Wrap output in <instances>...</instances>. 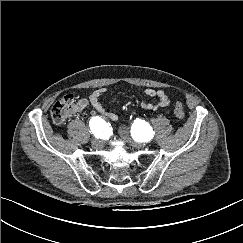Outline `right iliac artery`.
<instances>
[{"label": "right iliac artery", "instance_id": "right-iliac-artery-1", "mask_svg": "<svg viewBox=\"0 0 243 243\" xmlns=\"http://www.w3.org/2000/svg\"><path fill=\"white\" fill-rule=\"evenodd\" d=\"M106 122L100 117H93L90 121L91 132L98 138L103 133Z\"/></svg>", "mask_w": 243, "mask_h": 243}]
</instances>
